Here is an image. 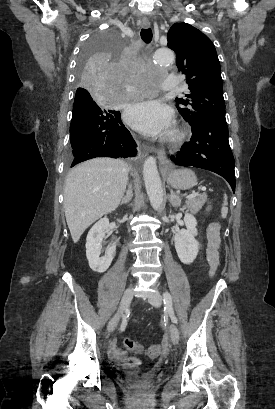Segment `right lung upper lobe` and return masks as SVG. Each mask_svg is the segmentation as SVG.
I'll use <instances>...</instances> for the list:
<instances>
[{
  "mask_svg": "<svg viewBox=\"0 0 275 409\" xmlns=\"http://www.w3.org/2000/svg\"><path fill=\"white\" fill-rule=\"evenodd\" d=\"M78 91H83V90H80L79 88L77 89Z\"/></svg>",
  "mask_w": 275,
  "mask_h": 409,
  "instance_id": "right-lung-upper-lobe-1",
  "label": "right lung upper lobe"
}]
</instances>
